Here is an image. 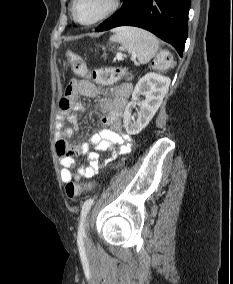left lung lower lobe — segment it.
I'll return each instance as SVG.
<instances>
[{
	"label": "left lung lower lobe",
	"mask_w": 233,
	"mask_h": 284,
	"mask_svg": "<svg viewBox=\"0 0 233 284\" xmlns=\"http://www.w3.org/2000/svg\"><path fill=\"white\" fill-rule=\"evenodd\" d=\"M190 4L191 0H124L121 9L95 31L124 25L143 28L172 44L182 56L188 35Z\"/></svg>",
	"instance_id": "left-lung-lower-lobe-1"
}]
</instances>
